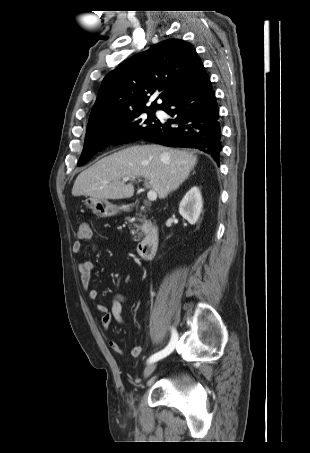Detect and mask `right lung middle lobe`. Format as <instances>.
I'll use <instances>...</instances> for the list:
<instances>
[{"label":"right lung middle lobe","mask_w":310,"mask_h":453,"mask_svg":"<svg viewBox=\"0 0 310 453\" xmlns=\"http://www.w3.org/2000/svg\"><path fill=\"white\" fill-rule=\"evenodd\" d=\"M154 110H139L114 117L87 127L84 148L78 165L110 144H121L141 139L159 122ZM147 113V116L143 115Z\"/></svg>","instance_id":"right-lung-middle-lobe-1"}]
</instances>
